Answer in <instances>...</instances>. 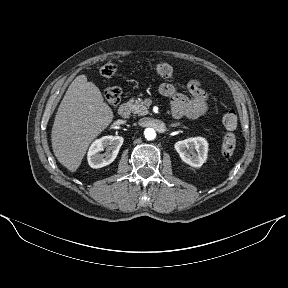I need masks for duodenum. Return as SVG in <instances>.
I'll return each mask as SVG.
<instances>
[{"label": "duodenum", "mask_w": 288, "mask_h": 288, "mask_svg": "<svg viewBox=\"0 0 288 288\" xmlns=\"http://www.w3.org/2000/svg\"><path fill=\"white\" fill-rule=\"evenodd\" d=\"M118 113L121 117L127 118L130 115V106L127 103H123L119 106Z\"/></svg>", "instance_id": "1"}]
</instances>
